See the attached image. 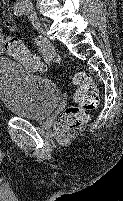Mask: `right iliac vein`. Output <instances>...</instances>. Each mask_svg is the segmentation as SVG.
I'll return each instance as SVG.
<instances>
[{
  "label": "right iliac vein",
  "instance_id": "obj_1",
  "mask_svg": "<svg viewBox=\"0 0 123 201\" xmlns=\"http://www.w3.org/2000/svg\"><path fill=\"white\" fill-rule=\"evenodd\" d=\"M26 12H27V15L29 17V20L31 21V23L35 27V29L37 31L41 32V33H45L46 32L45 27L41 23V21H40L39 17L37 16L36 12L30 7L26 8Z\"/></svg>",
  "mask_w": 123,
  "mask_h": 201
}]
</instances>
